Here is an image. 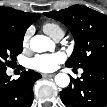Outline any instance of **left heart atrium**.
Masks as SVG:
<instances>
[{"instance_id":"39dd6f15","label":"left heart atrium","mask_w":107,"mask_h":107,"mask_svg":"<svg viewBox=\"0 0 107 107\" xmlns=\"http://www.w3.org/2000/svg\"><path fill=\"white\" fill-rule=\"evenodd\" d=\"M65 58V54L62 52L41 54L32 59L31 66L37 71L50 73L54 72L58 65L65 61Z\"/></svg>"}]
</instances>
